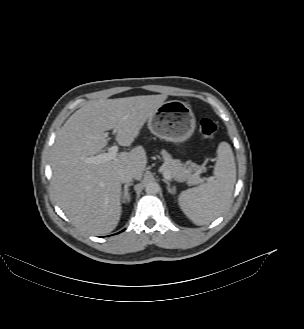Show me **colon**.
Here are the masks:
<instances>
[{"label": "colon", "instance_id": "5ec220e1", "mask_svg": "<svg viewBox=\"0 0 304 329\" xmlns=\"http://www.w3.org/2000/svg\"><path fill=\"white\" fill-rule=\"evenodd\" d=\"M199 130L205 139L211 140L214 138L216 125L211 119L203 118L199 123Z\"/></svg>", "mask_w": 304, "mask_h": 329}]
</instances>
